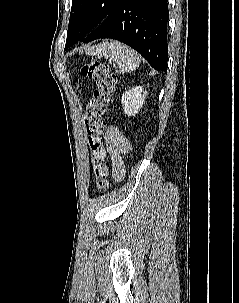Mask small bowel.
<instances>
[{
  "label": "small bowel",
  "instance_id": "c3829d8e",
  "mask_svg": "<svg viewBox=\"0 0 239 303\" xmlns=\"http://www.w3.org/2000/svg\"><path fill=\"white\" fill-rule=\"evenodd\" d=\"M105 149L112 163V174L116 181L125 175L124 157L130 152L131 144L116 127H109L105 134Z\"/></svg>",
  "mask_w": 239,
  "mask_h": 303
}]
</instances>
